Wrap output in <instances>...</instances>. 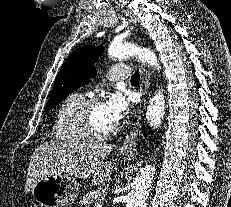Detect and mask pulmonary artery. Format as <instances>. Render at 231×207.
<instances>
[{
    "mask_svg": "<svg viewBox=\"0 0 231 207\" xmlns=\"http://www.w3.org/2000/svg\"><path fill=\"white\" fill-rule=\"evenodd\" d=\"M131 70L128 65L114 64L110 67L107 77L112 81L124 80L130 77Z\"/></svg>",
    "mask_w": 231,
    "mask_h": 207,
    "instance_id": "1",
    "label": "pulmonary artery"
}]
</instances>
